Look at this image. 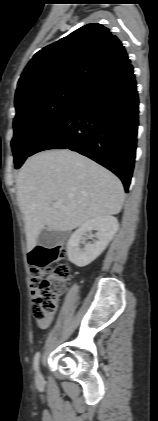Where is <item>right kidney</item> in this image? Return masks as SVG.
I'll list each match as a JSON object with an SVG mask.
<instances>
[{
    "mask_svg": "<svg viewBox=\"0 0 158 421\" xmlns=\"http://www.w3.org/2000/svg\"><path fill=\"white\" fill-rule=\"evenodd\" d=\"M118 228V220L113 216L97 217L84 222L68 240L67 255L69 261L78 267H84L92 263L106 249ZM93 229H98L97 240L87 243L81 249L82 236Z\"/></svg>",
    "mask_w": 158,
    "mask_h": 421,
    "instance_id": "ca27d5eb",
    "label": "right kidney"
}]
</instances>
